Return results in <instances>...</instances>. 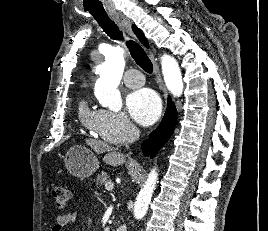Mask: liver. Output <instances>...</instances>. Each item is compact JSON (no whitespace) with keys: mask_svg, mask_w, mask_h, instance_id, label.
<instances>
[{"mask_svg":"<svg viewBox=\"0 0 268 231\" xmlns=\"http://www.w3.org/2000/svg\"><path fill=\"white\" fill-rule=\"evenodd\" d=\"M86 144L98 154L107 152L103 158L106 164L120 166L125 163V156L122 153L117 152V150L102 141L87 139Z\"/></svg>","mask_w":268,"mask_h":231,"instance_id":"6515ba94","label":"liver"}]
</instances>
